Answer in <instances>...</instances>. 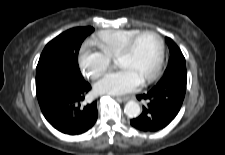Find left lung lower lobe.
Wrapping results in <instances>:
<instances>
[{"mask_svg":"<svg viewBox=\"0 0 225 155\" xmlns=\"http://www.w3.org/2000/svg\"><path fill=\"white\" fill-rule=\"evenodd\" d=\"M186 92V85L168 80L159 81L148 93L137 95L139 100H148L141 115L130 121L141 131L155 132L166 127L178 114Z\"/></svg>","mask_w":225,"mask_h":155,"instance_id":"left-lung-lower-lobe-1","label":"left lung lower lobe"}]
</instances>
